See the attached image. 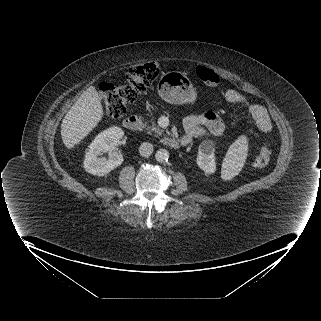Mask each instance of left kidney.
I'll use <instances>...</instances> for the list:
<instances>
[{"instance_id":"obj_1","label":"left kidney","mask_w":321,"mask_h":321,"mask_svg":"<svg viewBox=\"0 0 321 321\" xmlns=\"http://www.w3.org/2000/svg\"><path fill=\"white\" fill-rule=\"evenodd\" d=\"M196 161H197L198 167L202 169L205 173H208V174L214 173L216 171V162H215V148L213 144H204L200 146Z\"/></svg>"}]
</instances>
